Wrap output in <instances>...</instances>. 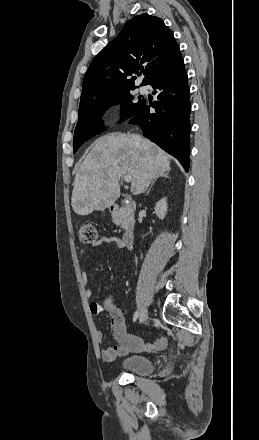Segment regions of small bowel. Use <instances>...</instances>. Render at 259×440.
Segmentation results:
<instances>
[{"instance_id": "obj_1", "label": "small bowel", "mask_w": 259, "mask_h": 440, "mask_svg": "<svg viewBox=\"0 0 259 440\" xmlns=\"http://www.w3.org/2000/svg\"><path fill=\"white\" fill-rule=\"evenodd\" d=\"M103 244H115L119 248H125L126 245L123 241V238L116 236H104L100 238L98 241L93 243L91 247H98ZM90 246L83 247L79 252V259L83 260L85 254ZM82 283L85 286V295L87 298L92 297V291L88 287L89 281L87 274L85 272L82 273ZM89 310L93 315H99L104 310H107L111 315V328L112 334L117 342L116 345L106 347L102 349L101 355L102 358L106 361H111L116 357L123 355L130 351H151V350H164L168 345V339L166 337H162L158 339L154 344H145L142 338L132 335L127 332L126 326L124 323L123 316L121 312L112 304L107 303L106 305H101L98 302H91L89 304ZM96 337L99 342L103 340V333L101 331L96 332Z\"/></svg>"}]
</instances>
